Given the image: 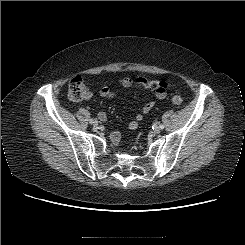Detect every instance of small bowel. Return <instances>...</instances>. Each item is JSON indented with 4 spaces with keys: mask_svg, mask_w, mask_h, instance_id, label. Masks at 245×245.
<instances>
[{
    "mask_svg": "<svg viewBox=\"0 0 245 245\" xmlns=\"http://www.w3.org/2000/svg\"><path fill=\"white\" fill-rule=\"evenodd\" d=\"M100 95L104 98H109L112 99L115 97V93L113 91H111L108 87H103L100 90ZM156 96L158 99H164L166 97V93L164 94H160V93H156ZM91 97L90 93L86 94V99H89ZM155 106V102L151 101L146 103L143 108L141 109V111L137 114L136 118L134 120H132L129 123V128L131 130H135L138 127V124L141 120H143V118L149 113V111ZM99 118L101 120H106V114L101 112L99 113ZM111 141L113 144H117L119 141V134L118 133H113L111 136Z\"/></svg>",
    "mask_w": 245,
    "mask_h": 245,
    "instance_id": "1",
    "label": "small bowel"
}]
</instances>
